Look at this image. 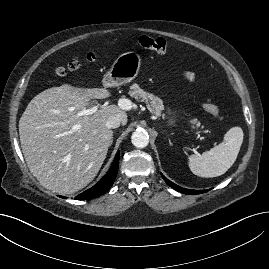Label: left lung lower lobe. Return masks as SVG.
I'll return each instance as SVG.
<instances>
[{"instance_id":"1","label":"left lung lower lobe","mask_w":269,"mask_h":269,"mask_svg":"<svg viewBox=\"0 0 269 269\" xmlns=\"http://www.w3.org/2000/svg\"><path fill=\"white\" fill-rule=\"evenodd\" d=\"M162 178L165 180V182L170 186L172 187L173 189L181 192V193H184V194H201V193H204L208 190H190V189H185V188H182L174 183H172L171 181H169L165 176L162 175Z\"/></svg>"}]
</instances>
